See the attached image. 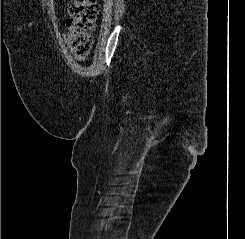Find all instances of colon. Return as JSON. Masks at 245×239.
Listing matches in <instances>:
<instances>
[{
  "instance_id": "1",
  "label": "colon",
  "mask_w": 245,
  "mask_h": 239,
  "mask_svg": "<svg viewBox=\"0 0 245 239\" xmlns=\"http://www.w3.org/2000/svg\"><path fill=\"white\" fill-rule=\"evenodd\" d=\"M99 6L95 0H71L67 25V42L76 57H85L93 41Z\"/></svg>"
}]
</instances>
